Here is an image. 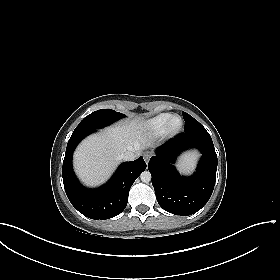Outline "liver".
<instances>
[{"label": "liver", "mask_w": 280, "mask_h": 280, "mask_svg": "<svg viewBox=\"0 0 280 280\" xmlns=\"http://www.w3.org/2000/svg\"><path fill=\"white\" fill-rule=\"evenodd\" d=\"M150 145L141 120L106 128L84 140L74 154V167L87 185L104 182L126 151L140 150Z\"/></svg>", "instance_id": "liver-1"}]
</instances>
